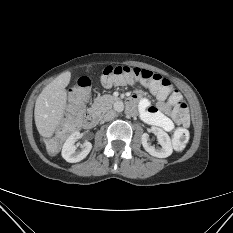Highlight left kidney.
Wrapping results in <instances>:
<instances>
[{
	"label": "left kidney",
	"instance_id": "5707ae66",
	"mask_svg": "<svg viewBox=\"0 0 233 233\" xmlns=\"http://www.w3.org/2000/svg\"><path fill=\"white\" fill-rule=\"evenodd\" d=\"M152 132L156 135L159 144L161 145L160 148H155L151 146V144L148 142L149 135L147 133H144L141 137V142L144 147V149L152 156L158 157V158H166L170 156L173 152V147L171 143V139L169 135L158 127H152Z\"/></svg>",
	"mask_w": 233,
	"mask_h": 233
}]
</instances>
